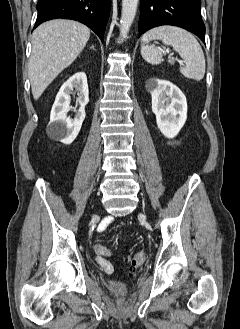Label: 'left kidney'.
<instances>
[{
  "mask_svg": "<svg viewBox=\"0 0 240 329\" xmlns=\"http://www.w3.org/2000/svg\"><path fill=\"white\" fill-rule=\"evenodd\" d=\"M146 87L151 93L152 111L161 133L174 138L187 119V101L182 91L169 81L151 78Z\"/></svg>",
  "mask_w": 240,
  "mask_h": 329,
  "instance_id": "1",
  "label": "left kidney"
}]
</instances>
